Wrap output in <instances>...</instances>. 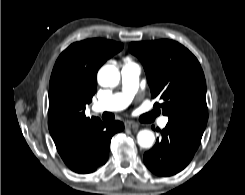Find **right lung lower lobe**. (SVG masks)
<instances>
[{
	"label": "right lung lower lobe",
	"instance_id": "right-lung-lower-lobe-1",
	"mask_svg": "<svg viewBox=\"0 0 245 195\" xmlns=\"http://www.w3.org/2000/svg\"><path fill=\"white\" fill-rule=\"evenodd\" d=\"M123 129L124 124L119 121L98 122L91 131L89 143L82 158L76 164L66 165L76 173L94 172L107 161L112 136Z\"/></svg>",
	"mask_w": 245,
	"mask_h": 195
}]
</instances>
